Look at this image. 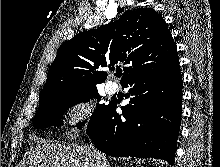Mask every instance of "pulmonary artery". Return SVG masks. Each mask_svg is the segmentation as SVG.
I'll return each mask as SVG.
<instances>
[{"mask_svg": "<svg viewBox=\"0 0 220 167\" xmlns=\"http://www.w3.org/2000/svg\"><path fill=\"white\" fill-rule=\"evenodd\" d=\"M106 91L108 94H114L116 92V85L114 83H107Z\"/></svg>", "mask_w": 220, "mask_h": 167, "instance_id": "obj_1", "label": "pulmonary artery"}]
</instances>
